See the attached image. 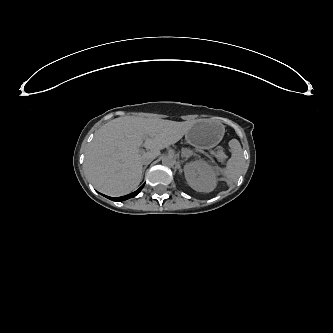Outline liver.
Returning a JSON list of instances; mask_svg holds the SVG:
<instances>
[{
    "instance_id": "obj_1",
    "label": "liver",
    "mask_w": 333,
    "mask_h": 333,
    "mask_svg": "<svg viewBox=\"0 0 333 333\" xmlns=\"http://www.w3.org/2000/svg\"><path fill=\"white\" fill-rule=\"evenodd\" d=\"M160 121L143 120L139 136H100L90 143L85 168L93 186L106 194H127L142 180V161L155 158L160 150L182 138L181 133H158ZM144 145L146 153L140 152Z\"/></svg>"
}]
</instances>
